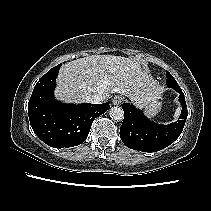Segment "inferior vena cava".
<instances>
[{"label": "inferior vena cava", "mask_w": 211, "mask_h": 211, "mask_svg": "<svg viewBox=\"0 0 211 211\" xmlns=\"http://www.w3.org/2000/svg\"><path fill=\"white\" fill-rule=\"evenodd\" d=\"M86 101L93 104H100L103 102V97L100 94H93L87 96Z\"/></svg>", "instance_id": "1"}]
</instances>
